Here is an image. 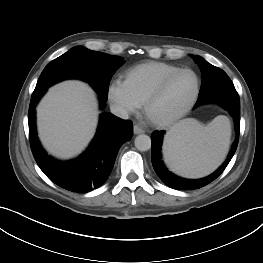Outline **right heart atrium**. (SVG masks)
Segmentation results:
<instances>
[{"mask_svg":"<svg viewBox=\"0 0 263 263\" xmlns=\"http://www.w3.org/2000/svg\"><path fill=\"white\" fill-rule=\"evenodd\" d=\"M107 97L113 109L121 116L133 114L140 108L121 80H114L108 85Z\"/></svg>","mask_w":263,"mask_h":263,"instance_id":"d8ad5b80","label":"right heart atrium"}]
</instances>
